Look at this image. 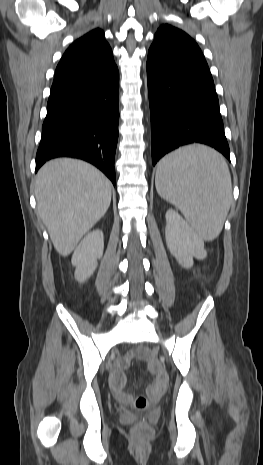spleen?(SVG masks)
Wrapping results in <instances>:
<instances>
[{
  "mask_svg": "<svg viewBox=\"0 0 263 465\" xmlns=\"http://www.w3.org/2000/svg\"><path fill=\"white\" fill-rule=\"evenodd\" d=\"M158 194L175 205L204 240L222 231L232 200L228 165L218 152L187 146L163 157L157 166Z\"/></svg>",
  "mask_w": 263,
  "mask_h": 465,
  "instance_id": "obj_1",
  "label": "spleen"
}]
</instances>
